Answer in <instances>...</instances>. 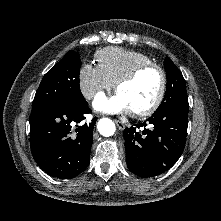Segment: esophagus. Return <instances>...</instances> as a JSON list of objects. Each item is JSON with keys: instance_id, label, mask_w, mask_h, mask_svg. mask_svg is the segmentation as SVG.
<instances>
[{"instance_id": "esophagus-1", "label": "esophagus", "mask_w": 221, "mask_h": 221, "mask_svg": "<svg viewBox=\"0 0 221 221\" xmlns=\"http://www.w3.org/2000/svg\"><path fill=\"white\" fill-rule=\"evenodd\" d=\"M114 122L120 130H123L125 128V124L122 123L121 121L115 120Z\"/></svg>"}]
</instances>
